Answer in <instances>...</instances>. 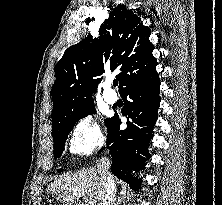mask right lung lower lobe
<instances>
[{
  "label": "right lung lower lobe",
  "instance_id": "obj_1",
  "mask_svg": "<svg viewBox=\"0 0 222 205\" xmlns=\"http://www.w3.org/2000/svg\"><path fill=\"white\" fill-rule=\"evenodd\" d=\"M160 79L156 67L128 81L121 89L124 99L121 113L127 117V128L120 130L121 120L115 114L107 125V148L112 156L111 171L119 179L138 189L142 181L133 177L144 169L149 159L148 145L152 139L160 106ZM104 147L100 150L103 151Z\"/></svg>",
  "mask_w": 222,
  "mask_h": 205
}]
</instances>
